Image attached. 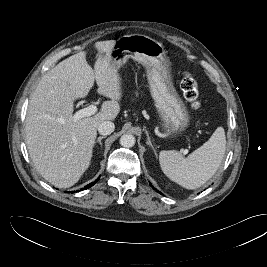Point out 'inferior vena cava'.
I'll use <instances>...</instances> for the list:
<instances>
[{
	"instance_id": "inferior-vena-cava-1",
	"label": "inferior vena cava",
	"mask_w": 267,
	"mask_h": 267,
	"mask_svg": "<svg viewBox=\"0 0 267 267\" xmlns=\"http://www.w3.org/2000/svg\"><path fill=\"white\" fill-rule=\"evenodd\" d=\"M115 125L111 121H103L99 126H98V132L101 135H109L114 131Z\"/></svg>"
}]
</instances>
